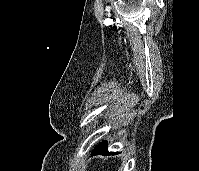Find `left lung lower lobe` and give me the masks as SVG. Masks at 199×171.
Listing matches in <instances>:
<instances>
[{
    "mask_svg": "<svg viewBox=\"0 0 199 171\" xmlns=\"http://www.w3.org/2000/svg\"><path fill=\"white\" fill-rule=\"evenodd\" d=\"M107 150H108V143L107 141H104L100 144H98L94 150L92 151V155H95V154H105L107 153Z\"/></svg>",
    "mask_w": 199,
    "mask_h": 171,
    "instance_id": "0a47b994",
    "label": "left lung lower lobe"
}]
</instances>
